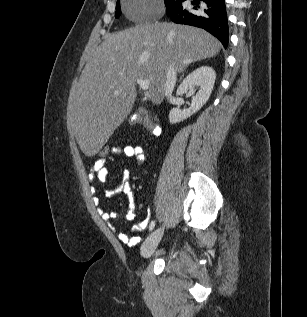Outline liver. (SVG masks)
<instances>
[{"label":"liver","instance_id":"liver-1","mask_svg":"<svg viewBox=\"0 0 307 317\" xmlns=\"http://www.w3.org/2000/svg\"><path fill=\"white\" fill-rule=\"evenodd\" d=\"M221 43L187 25L153 23L108 34L87 61L72 101L73 130L81 150L96 154L132 110L136 79L148 80L149 98L161 103L170 64L216 56Z\"/></svg>","mask_w":307,"mask_h":317}]
</instances>
